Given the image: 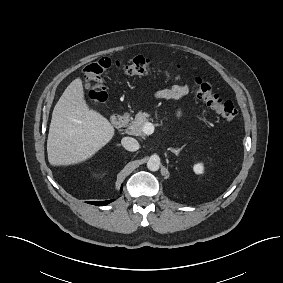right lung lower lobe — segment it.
<instances>
[{
    "label": "right lung lower lobe",
    "mask_w": 283,
    "mask_h": 283,
    "mask_svg": "<svg viewBox=\"0 0 283 283\" xmlns=\"http://www.w3.org/2000/svg\"><path fill=\"white\" fill-rule=\"evenodd\" d=\"M114 200H108V201H98V202H90L91 204H94V205H98V206H104V205H107L108 203L112 202Z\"/></svg>",
    "instance_id": "right-lung-lower-lobe-1"
}]
</instances>
